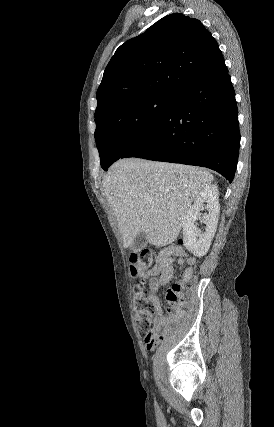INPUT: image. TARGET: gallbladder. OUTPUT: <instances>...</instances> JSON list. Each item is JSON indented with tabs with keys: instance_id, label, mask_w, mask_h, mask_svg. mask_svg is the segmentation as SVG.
<instances>
[{
	"instance_id": "obj_1",
	"label": "gallbladder",
	"mask_w": 274,
	"mask_h": 427,
	"mask_svg": "<svg viewBox=\"0 0 274 427\" xmlns=\"http://www.w3.org/2000/svg\"><path fill=\"white\" fill-rule=\"evenodd\" d=\"M146 243H147L146 235L144 231H141V233H138V235H136L132 245H130V249H132L134 253H138V251H141V249L145 247Z\"/></svg>"
}]
</instances>
